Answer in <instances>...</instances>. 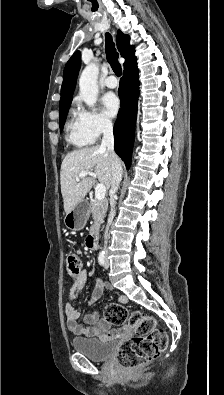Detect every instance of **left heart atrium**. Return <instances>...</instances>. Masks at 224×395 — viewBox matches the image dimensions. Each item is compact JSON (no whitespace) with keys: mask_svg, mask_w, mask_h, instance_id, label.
Listing matches in <instances>:
<instances>
[{"mask_svg":"<svg viewBox=\"0 0 224 395\" xmlns=\"http://www.w3.org/2000/svg\"><path fill=\"white\" fill-rule=\"evenodd\" d=\"M102 102H103L105 113L108 116L114 117L117 115L120 109V101L116 95L112 93H108L103 97Z\"/></svg>","mask_w":224,"mask_h":395,"instance_id":"obj_1","label":"left heart atrium"}]
</instances>
